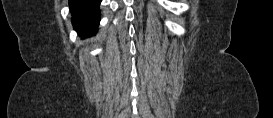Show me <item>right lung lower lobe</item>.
Wrapping results in <instances>:
<instances>
[{
    "instance_id": "1",
    "label": "right lung lower lobe",
    "mask_w": 273,
    "mask_h": 118,
    "mask_svg": "<svg viewBox=\"0 0 273 118\" xmlns=\"http://www.w3.org/2000/svg\"><path fill=\"white\" fill-rule=\"evenodd\" d=\"M101 0H69L72 24L79 35H95L100 22Z\"/></svg>"
}]
</instances>
